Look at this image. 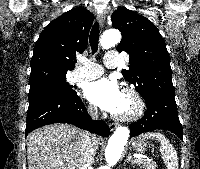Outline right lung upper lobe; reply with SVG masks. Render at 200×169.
Here are the masks:
<instances>
[{
	"mask_svg": "<svg viewBox=\"0 0 200 169\" xmlns=\"http://www.w3.org/2000/svg\"><path fill=\"white\" fill-rule=\"evenodd\" d=\"M93 20L91 12L77 7L41 32L30 62V86L49 79H66L67 71L74 68L76 52L82 53L87 47Z\"/></svg>",
	"mask_w": 200,
	"mask_h": 169,
	"instance_id": "cb5924a9",
	"label": "right lung upper lobe"
}]
</instances>
